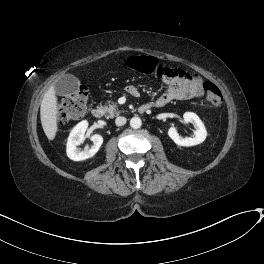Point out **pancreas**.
Segmentation results:
<instances>
[{
    "mask_svg": "<svg viewBox=\"0 0 264 264\" xmlns=\"http://www.w3.org/2000/svg\"><path fill=\"white\" fill-rule=\"evenodd\" d=\"M104 111H105V116L107 118H113L115 116H118L122 111L118 109V105L117 103L114 102H109L108 105H105L103 107Z\"/></svg>",
    "mask_w": 264,
    "mask_h": 264,
    "instance_id": "pancreas-1",
    "label": "pancreas"
}]
</instances>
